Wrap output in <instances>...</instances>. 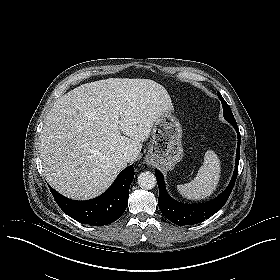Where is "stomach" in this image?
<instances>
[{
	"instance_id": "stomach-1",
	"label": "stomach",
	"mask_w": 280,
	"mask_h": 280,
	"mask_svg": "<svg viewBox=\"0 0 280 280\" xmlns=\"http://www.w3.org/2000/svg\"><path fill=\"white\" fill-rule=\"evenodd\" d=\"M182 127L170 113L163 114L151 129V145L146 156L149 164L172 170L183 158Z\"/></svg>"
}]
</instances>
